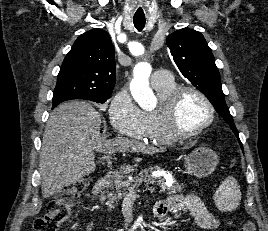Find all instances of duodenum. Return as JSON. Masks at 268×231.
<instances>
[{
    "mask_svg": "<svg viewBox=\"0 0 268 231\" xmlns=\"http://www.w3.org/2000/svg\"><path fill=\"white\" fill-rule=\"evenodd\" d=\"M119 182L120 176L118 171L112 170L95 185L93 192L100 195L104 189L114 186Z\"/></svg>",
    "mask_w": 268,
    "mask_h": 231,
    "instance_id": "1",
    "label": "duodenum"
}]
</instances>
